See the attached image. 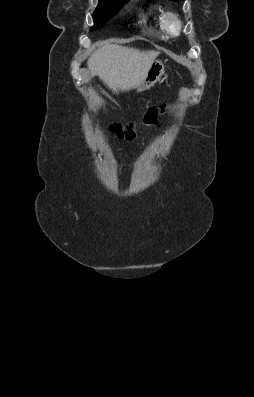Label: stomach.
I'll list each match as a JSON object with an SVG mask.
<instances>
[{
    "label": "stomach",
    "instance_id": "0dacf381",
    "mask_svg": "<svg viewBox=\"0 0 254 397\" xmlns=\"http://www.w3.org/2000/svg\"><path fill=\"white\" fill-rule=\"evenodd\" d=\"M164 64L160 60H154L149 67L144 79L137 87V92L141 93L147 89H150L157 81L160 80L164 74Z\"/></svg>",
    "mask_w": 254,
    "mask_h": 397
}]
</instances>
